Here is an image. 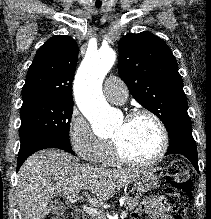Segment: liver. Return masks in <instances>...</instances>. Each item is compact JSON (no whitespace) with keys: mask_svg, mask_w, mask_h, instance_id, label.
I'll return each instance as SVG.
<instances>
[{"mask_svg":"<svg viewBox=\"0 0 211 219\" xmlns=\"http://www.w3.org/2000/svg\"><path fill=\"white\" fill-rule=\"evenodd\" d=\"M141 170H115L80 164L71 155L47 149L30 156L17 176V204L21 219H43L56 196L83 192L93 207L101 206L117 191L135 181ZM88 191L95 194L90 196Z\"/></svg>","mask_w":211,"mask_h":219,"instance_id":"obj_1","label":"liver"}]
</instances>
